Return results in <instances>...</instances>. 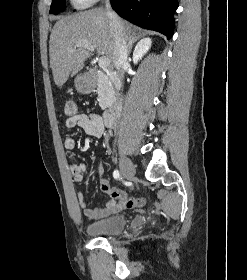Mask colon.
Segmentation results:
<instances>
[{"instance_id": "colon-1", "label": "colon", "mask_w": 247, "mask_h": 280, "mask_svg": "<svg viewBox=\"0 0 247 280\" xmlns=\"http://www.w3.org/2000/svg\"><path fill=\"white\" fill-rule=\"evenodd\" d=\"M65 114L67 116H74L77 112V105L75 102L73 101H67L66 104H65ZM132 205H136L137 204V201H132L131 202Z\"/></svg>"}]
</instances>
